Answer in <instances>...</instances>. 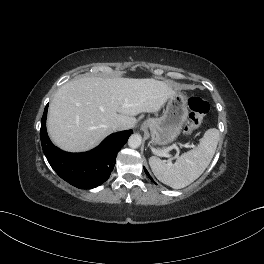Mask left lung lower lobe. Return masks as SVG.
Instances as JSON below:
<instances>
[{"label":"left lung lower lobe","instance_id":"0a47b994","mask_svg":"<svg viewBox=\"0 0 264 264\" xmlns=\"http://www.w3.org/2000/svg\"><path fill=\"white\" fill-rule=\"evenodd\" d=\"M145 173H146V175H148V177L150 178V180L153 182V183H155L154 181H153V179H152V177L149 175V173H148V171L145 169ZM156 184V183H155Z\"/></svg>","mask_w":264,"mask_h":264}]
</instances>
